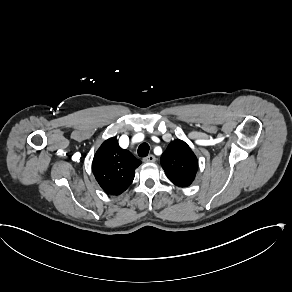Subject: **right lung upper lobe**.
<instances>
[{
    "label": "right lung upper lobe",
    "instance_id": "obj_1",
    "mask_svg": "<svg viewBox=\"0 0 292 292\" xmlns=\"http://www.w3.org/2000/svg\"><path fill=\"white\" fill-rule=\"evenodd\" d=\"M141 161L128 150L122 149L116 138H109L97 150L92 164L93 174L108 194L123 193L134 179Z\"/></svg>",
    "mask_w": 292,
    "mask_h": 292
}]
</instances>
